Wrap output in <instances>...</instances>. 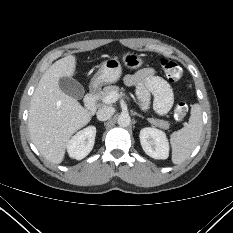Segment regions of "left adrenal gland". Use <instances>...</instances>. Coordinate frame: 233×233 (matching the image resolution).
<instances>
[{
    "mask_svg": "<svg viewBox=\"0 0 233 233\" xmlns=\"http://www.w3.org/2000/svg\"><path fill=\"white\" fill-rule=\"evenodd\" d=\"M133 114H134V115H137V116H139V117H141V118H144L141 114H138L137 112H134Z\"/></svg>",
    "mask_w": 233,
    "mask_h": 233,
    "instance_id": "1",
    "label": "left adrenal gland"
}]
</instances>
